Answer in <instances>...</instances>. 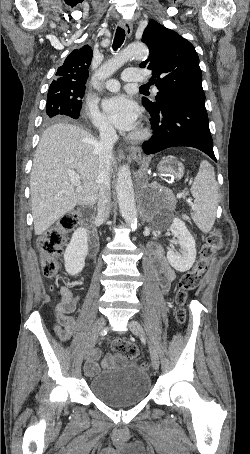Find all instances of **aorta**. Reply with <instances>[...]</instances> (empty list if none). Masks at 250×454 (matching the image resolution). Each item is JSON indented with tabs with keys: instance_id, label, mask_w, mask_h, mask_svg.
<instances>
[{
	"instance_id": "762f6f07",
	"label": "aorta",
	"mask_w": 250,
	"mask_h": 454,
	"mask_svg": "<svg viewBox=\"0 0 250 454\" xmlns=\"http://www.w3.org/2000/svg\"><path fill=\"white\" fill-rule=\"evenodd\" d=\"M148 48L144 43H130L120 53L104 63L95 73L98 80L104 81L111 77L127 60L144 59L148 56ZM116 194L119 209L125 222L132 228L137 227V209L134 198L130 167L122 165L117 174Z\"/></svg>"
}]
</instances>
